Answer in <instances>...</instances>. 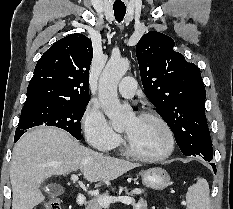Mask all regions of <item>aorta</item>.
I'll return each instance as SVG.
<instances>
[{
	"label": "aorta",
	"instance_id": "obj_1",
	"mask_svg": "<svg viewBox=\"0 0 233 209\" xmlns=\"http://www.w3.org/2000/svg\"><path fill=\"white\" fill-rule=\"evenodd\" d=\"M129 69L127 59H110L106 64L98 86V98L102 109L109 118L113 128L122 130L132 117V110L128 106H123L117 94L119 81Z\"/></svg>",
	"mask_w": 233,
	"mask_h": 209
}]
</instances>
